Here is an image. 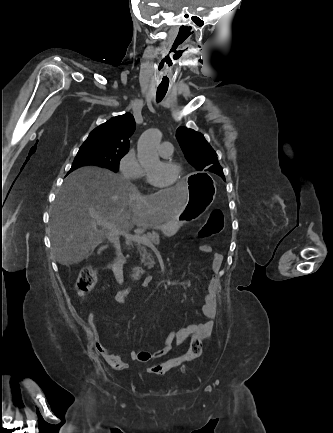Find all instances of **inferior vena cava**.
Masks as SVG:
<instances>
[{
	"instance_id": "1",
	"label": "inferior vena cava",
	"mask_w": 333,
	"mask_h": 433,
	"mask_svg": "<svg viewBox=\"0 0 333 433\" xmlns=\"http://www.w3.org/2000/svg\"><path fill=\"white\" fill-rule=\"evenodd\" d=\"M110 235L116 237V236H115L114 234H112L111 232H110ZM116 238H117V237H116Z\"/></svg>"
}]
</instances>
